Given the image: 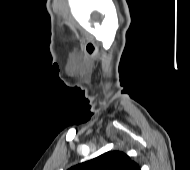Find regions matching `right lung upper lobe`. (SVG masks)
Here are the masks:
<instances>
[{
	"instance_id": "1",
	"label": "right lung upper lobe",
	"mask_w": 190,
	"mask_h": 170,
	"mask_svg": "<svg viewBox=\"0 0 190 170\" xmlns=\"http://www.w3.org/2000/svg\"><path fill=\"white\" fill-rule=\"evenodd\" d=\"M68 170H140V168L124 152L109 151Z\"/></svg>"
}]
</instances>
